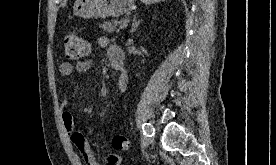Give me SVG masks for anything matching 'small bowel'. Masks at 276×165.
Wrapping results in <instances>:
<instances>
[{
    "label": "small bowel",
    "instance_id": "small-bowel-1",
    "mask_svg": "<svg viewBox=\"0 0 276 165\" xmlns=\"http://www.w3.org/2000/svg\"><path fill=\"white\" fill-rule=\"evenodd\" d=\"M101 43L105 44L106 41L102 40ZM108 56L109 59H111L112 57H118L124 62V53L122 49L118 46L110 45L108 47ZM91 66L92 60L90 59L79 61L75 65L70 62H62L59 66V72L62 76H70L75 70L83 73L88 71ZM127 84V74L124 70H122L117 82L119 90L121 92H124L127 88ZM62 120L70 140L81 153L85 165H99L90 144L88 143L84 135L76 129L75 118L71 111L66 108L65 102H63L62 104ZM104 164L120 165L121 157L118 154H110L106 157Z\"/></svg>",
    "mask_w": 276,
    "mask_h": 165
}]
</instances>
